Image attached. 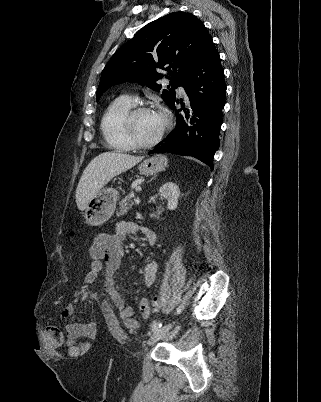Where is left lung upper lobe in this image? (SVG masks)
<instances>
[{
	"mask_svg": "<svg viewBox=\"0 0 321 402\" xmlns=\"http://www.w3.org/2000/svg\"><path fill=\"white\" fill-rule=\"evenodd\" d=\"M211 38L204 24L191 13L173 12L140 29L135 36L120 47L102 71L96 92L97 101L111 86L127 81H139L154 91L168 71L169 90L161 97L167 105L176 98L175 88L197 59L206 42Z\"/></svg>",
	"mask_w": 321,
	"mask_h": 402,
	"instance_id": "obj_1",
	"label": "left lung upper lobe"
}]
</instances>
